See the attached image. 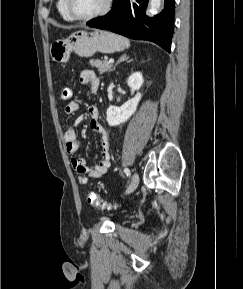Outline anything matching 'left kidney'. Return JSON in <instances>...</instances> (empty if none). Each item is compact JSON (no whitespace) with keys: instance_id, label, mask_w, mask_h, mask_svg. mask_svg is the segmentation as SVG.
<instances>
[{"instance_id":"obj_1","label":"left kidney","mask_w":243,"mask_h":289,"mask_svg":"<svg viewBox=\"0 0 243 289\" xmlns=\"http://www.w3.org/2000/svg\"><path fill=\"white\" fill-rule=\"evenodd\" d=\"M143 76L140 72H135L127 80L128 86L137 91L136 95L125 102L121 107L109 106L107 109V122L109 126H118L126 122L136 111L139 101L141 100V93L139 89L143 85Z\"/></svg>"}]
</instances>
